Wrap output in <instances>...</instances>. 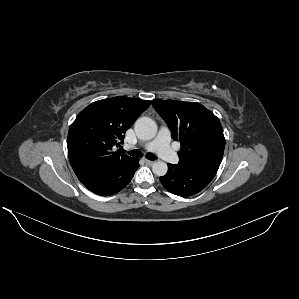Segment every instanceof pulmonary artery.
I'll return each mask as SVG.
<instances>
[{"label":"pulmonary artery","instance_id":"pulmonary-artery-1","mask_svg":"<svg viewBox=\"0 0 299 299\" xmlns=\"http://www.w3.org/2000/svg\"><path fill=\"white\" fill-rule=\"evenodd\" d=\"M170 140V131L167 128H161L157 137L153 141L146 143L144 147L148 151L156 152L165 161L176 164L178 163V157L170 148Z\"/></svg>","mask_w":299,"mask_h":299}]
</instances>
